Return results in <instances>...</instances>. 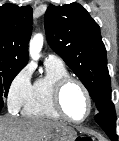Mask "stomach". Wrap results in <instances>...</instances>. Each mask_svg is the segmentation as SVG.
I'll return each instance as SVG.
<instances>
[{"label":"stomach","instance_id":"1","mask_svg":"<svg viewBox=\"0 0 119 141\" xmlns=\"http://www.w3.org/2000/svg\"><path fill=\"white\" fill-rule=\"evenodd\" d=\"M77 133L70 127H62L44 138L43 141H76Z\"/></svg>","mask_w":119,"mask_h":141}]
</instances>
